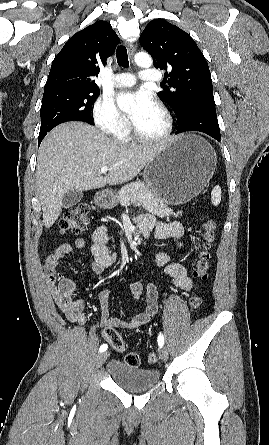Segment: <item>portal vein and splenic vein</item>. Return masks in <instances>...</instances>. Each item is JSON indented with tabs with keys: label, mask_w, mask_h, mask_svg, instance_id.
Instances as JSON below:
<instances>
[{
	"label": "portal vein and splenic vein",
	"mask_w": 269,
	"mask_h": 445,
	"mask_svg": "<svg viewBox=\"0 0 269 445\" xmlns=\"http://www.w3.org/2000/svg\"><path fill=\"white\" fill-rule=\"evenodd\" d=\"M109 170V168L107 167V166H103V167H101V169H100V173H106L107 171Z\"/></svg>",
	"instance_id": "1"
}]
</instances>
